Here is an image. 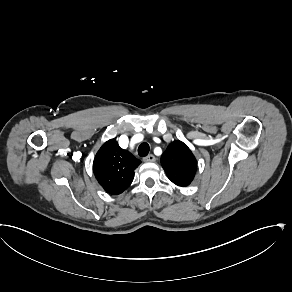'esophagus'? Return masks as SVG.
I'll use <instances>...</instances> for the list:
<instances>
[{
	"mask_svg": "<svg viewBox=\"0 0 292 292\" xmlns=\"http://www.w3.org/2000/svg\"><path fill=\"white\" fill-rule=\"evenodd\" d=\"M155 160H156V158L152 154H150V155H148V156H146V157L143 158V161L144 162H154Z\"/></svg>",
	"mask_w": 292,
	"mask_h": 292,
	"instance_id": "obj_1",
	"label": "esophagus"
}]
</instances>
